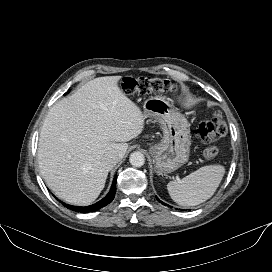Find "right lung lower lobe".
<instances>
[{"mask_svg": "<svg viewBox=\"0 0 272 272\" xmlns=\"http://www.w3.org/2000/svg\"><path fill=\"white\" fill-rule=\"evenodd\" d=\"M115 193H116V176L113 179V183H112L110 192L107 194V196L93 205L86 206V207H78V206H72V205L65 204L64 202H61V203L63 205H65L67 208L74 210L76 212L87 213V212L96 211V210L106 206L107 204H109L114 199Z\"/></svg>", "mask_w": 272, "mask_h": 272, "instance_id": "1", "label": "right lung lower lobe"}]
</instances>
